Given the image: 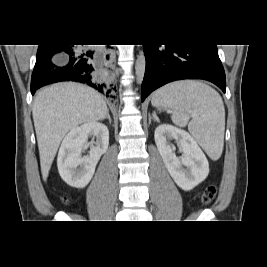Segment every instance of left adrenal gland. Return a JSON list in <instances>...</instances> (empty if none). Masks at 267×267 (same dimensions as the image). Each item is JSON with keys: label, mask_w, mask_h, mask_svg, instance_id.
<instances>
[{"label": "left adrenal gland", "mask_w": 267, "mask_h": 267, "mask_svg": "<svg viewBox=\"0 0 267 267\" xmlns=\"http://www.w3.org/2000/svg\"><path fill=\"white\" fill-rule=\"evenodd\" d=\"M151 120L156 121V120H157L156 115L151 116V115L149 114V124L151 123Z\"/></svg>", "instance_id": "1"}]
</instances>
